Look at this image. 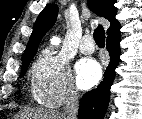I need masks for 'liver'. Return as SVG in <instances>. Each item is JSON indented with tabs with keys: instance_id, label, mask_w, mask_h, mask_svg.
Listing matches in <instances>:
<instances>
[{
	"instance_id": "6515ba94",
	"label": "liver",
	"mask_w": 142,
	"mask_h": 119,
	"mask_svg": "<svg viewBox=\"0 0 142 119\" xmlns=\"http://www.w3.org/2000/svg\"><path fill=\"white\" fill-rule=\"evenodd\" d=\"M20 119H65L63 114L45 109H29L25 110Z\"/></svg>"
}]
</instances>
